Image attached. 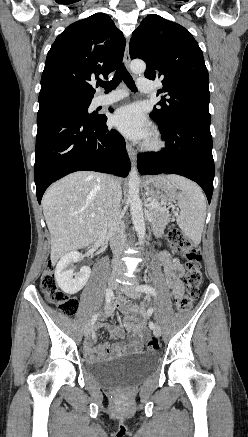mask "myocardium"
I'll use <instances>...</instances> for the list:
<instances>
[{"label": "myocardium", "mask_w": 248, "mask_h": 437, "mask_svg": "<svg viewBox=\"0 0 248 437\" xmlns=\"http://www.w3.org/2000/svg\"><path fill=\"white\" fill-rule=\"evenodd\" d=\"M164 147V142L157 133H154L143 144V148L147 151H159Z\"/></svg>", "instance_id": "myocardium-1"}]
</instances>
